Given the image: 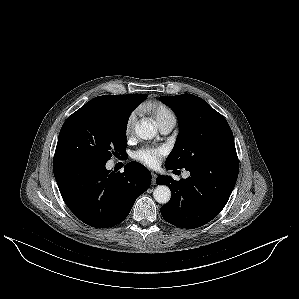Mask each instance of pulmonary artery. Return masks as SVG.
<instances>
[{
  "label": "pulmonary artery",
  "instance_id": "1",
  "mask_svg": "<svg viewBox=\"0 0 299 299\" xmlns=\"http://www.w3.org/2000/svg\"><path fill=\"white\" fill-rule=\"evenodd\" d=\"M175 126V120L171 119V120H168V121H165L163 123H161L159 125V129L160 131L163 133V134H168L172 131V129L174 128ZM183 176L185 178H187L189 176V173L188 172H185L183 174Z\"/></svg>",
  "mask_w": 299,
  "mask_h": 299
}]
</instances>
